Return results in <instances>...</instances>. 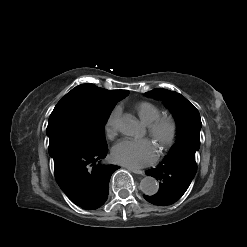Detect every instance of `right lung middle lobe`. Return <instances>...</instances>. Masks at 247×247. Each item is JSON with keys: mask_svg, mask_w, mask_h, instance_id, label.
I'll return each mask as SVG.
<instances>
[{"mask_svg": "<svg viewBox=\"0 0 247 247\" xmlns=\"http://www.w3.org/2000/svg\"><path fill=\"white\" fill-rule=\"evenodd\" d=\"M123 98L108 101L75 87L55 106L46 133L49 138L65 137L90 148L107 147L105 124L116 103Z\"/></svg>", "mask_w": 247, "mask_h": 247, "instance_id": "1", "label": "right lung middle lobe"}]
</instances>
